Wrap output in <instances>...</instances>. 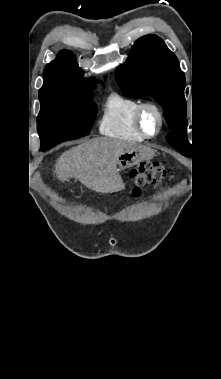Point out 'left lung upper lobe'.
<instances>
[{"label": "left lung upper lobe", "mask_w": 221, "mask_h": 379, "mask_svg": "<svg viewBox=\"0 0 221 379\" xmlns=\"http://www.w3.org/2000/svg\"><path fill=\"white\" fill-rule=\"evenodd\" d=\"M115 76L126 95L144 99L151 96L163 107L165 120L173 129L166 135L167 142L189 157L192 145L187 139L185 76L162 39L156 35L138 39Z\"/></svg>", "instance_id": "obj_1"}]
</instances>
